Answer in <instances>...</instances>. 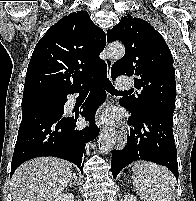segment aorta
Returning a JSON list of instances; mask_svg holds the SVG:
<instances>
[{"label": "aorta", "instance_id": "762f6f07", "mask_svg": "<svg viewBox=\"0 0 196 201\" xmlns=\"http://www.w3.org/2000/svg\"><path fill=\"white\" fill-rule=\"evenodd\" d=\"M107 53L112 58H122L125 54V47L120 44H110L107 48ZM117 140V132L114 129L107 130L104 134L99 137L98 145L99 151L102 154H106L112 150Z\"/></svg>", "mask_w": 196, "mask_h": 201}]
</instances>
